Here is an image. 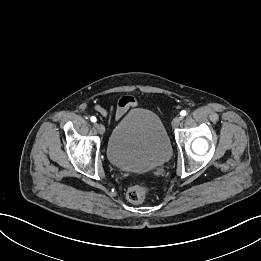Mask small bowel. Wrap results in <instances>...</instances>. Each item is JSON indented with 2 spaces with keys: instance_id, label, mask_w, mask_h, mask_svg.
I'll return each instance as SVG.
<instances>
[{
  "instance_id": "obj_1",
  "label": "small bowel",
  "mask_w": 261,
  "mask_h": 261,
  "mask_svg": "<svg viewBox=\"0 0 261 261\" xmlns=\"http://www.w3.org/2000/svg\"><path fill=\"white\" fill-rule=\"evenodd\" d=\"M137 105V101L133 96L125 95L121 97L113 111H108L102 106H97L96 109L100 112L103 116H113L114 119L118 120L123 117L126 112Z\"/></svg>"
}]
</instances>
